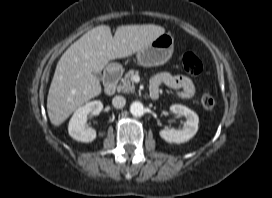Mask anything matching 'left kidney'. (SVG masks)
<instances>
[{
	"label": "left kidney",
	"mask_w": 272,
	"mask_h": 198,
	"mask_svg": "<svg viewBox=\"0 0 272 198\" xmlns=\"http://www.w3.org/2000/svg\"><path fill=\"white\" fill-rule=\"evenodd\" d=\"M172 113L184 116L186 121L181 129H163L159 132L162 139L168 143H184L189 141L198 131V115L180 104H174L170 107Z\"/></svg>",
	"instance_id": "1"
}]
</instances>
